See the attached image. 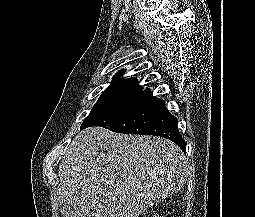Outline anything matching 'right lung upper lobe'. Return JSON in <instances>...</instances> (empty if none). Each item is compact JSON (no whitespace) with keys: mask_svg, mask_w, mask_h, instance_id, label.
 <instances>
[{"mask_svg":"<svg viewBox=\"0 0 255 217\" xmlns=\"http://www.w3.org/2000/svg\"><path fill=\"white\" fill-rule=\"evenodd\" d=\"M124 73V70L119 71L115 75V80L111 83L109 87H125V86H130V87H141L135 78H130V79H123L122 75ZM108 87V88H109Z\"/></svg>","mask_w":255,"mask_h":217,"instance_id":"1","label":"right lung upper lobe"}]
</instances>
